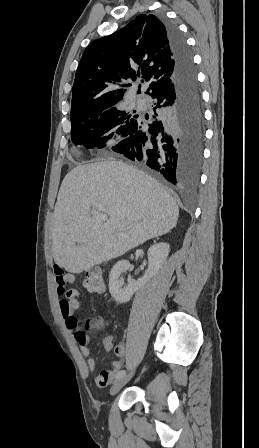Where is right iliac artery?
Returning a JSON list of instances; mask_svg holds the SVG:
<instances>
[{"label": "right iliac artery", "instance_id": "right-iliac-artery-1", "mask_svg": "<svg viewBox=\"0 0 259 448\" xmlns=\"http://www.w3.org/2000/svg\"><path fill=\"white\" fill-rule=\"evenodd\" d=\"M125 371L124 370H121V371H119L117 374H116V376H115V379H120V378H122L124 375H125Z\"/></svg>", "mask_w": 259, "mask_h": 448}]
</instances>
